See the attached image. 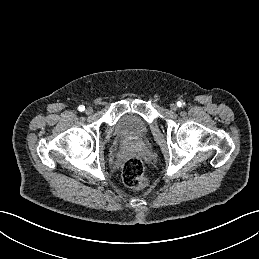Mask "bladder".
<instances>
[{"label":"bladder","instance_id":"1","mask_svg":"<svg viewBox=\"0 0 259 259\" xmlns=\"http://www.w3.org/2000/svg\"><path fill=\"white\" fill-rule=\"evenodd\" d=\"M149 133L145 120L136 114H126L120 117L115 126V136L126 144L143 142Z\"/></svg>","mask_w":259,"mask_h":259}]
</instances>
